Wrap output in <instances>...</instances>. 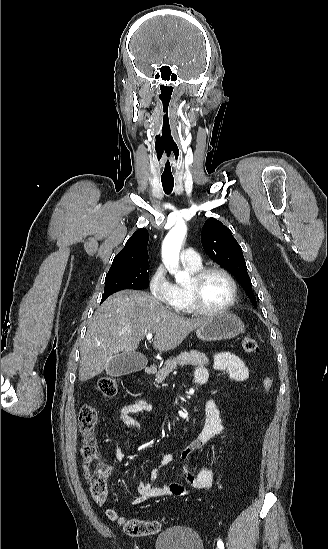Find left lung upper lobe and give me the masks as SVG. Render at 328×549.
<instances>
[{
	"label": "left lung upper lobe",
	"instance_id": "1",
	"mask_svg": "<svg viewBox=\"0 0 328 549\" xmlns=\"http://www.w3.org/2000/svg\"><path fill=\"white\" fill-rule=\"evenodd\" d=\"M201 240L205 252L216 263L237 277L247 290L252 302L256 304L242 248L233 237L230 229L219 220L211 217L204 224Z\"/></svg>",
	"mask_w": 328,
	"mask_h": 549
}]
</instances>
